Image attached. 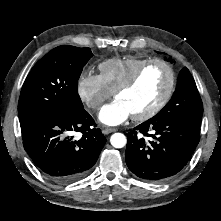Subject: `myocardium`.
Returning <instances> with one entry per match:
<instances>
[{
	"label": "myocardium",
	"mask_w": 221,
	"mask_h": 221,
	"mask_svg": "<svg viewBox=\"0 0 221 221\" xmlns=\"http://www.w3.org/2000/svg\"><path fill=\"white\" fill-rule=\"evenodd\" d=\"M155 64L161 65L166 69L168 73V84L162 96L151 108H149L143 113L132 115V118L136 121H145L153 118L165 107V105L170 100L176 85V74L172 66L168 62L161 59L146 60L133 72V74L127 80H125L121 85H119L114 91V96L117 97L119 94L130 89L132 86H134L137 83L143 72L148 67Z\"/></svg>",
	"instance_id": "obj_1"
}]
</instances>
